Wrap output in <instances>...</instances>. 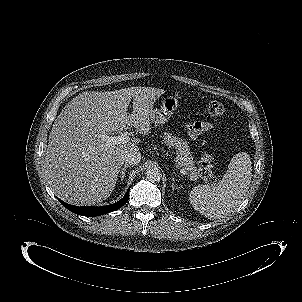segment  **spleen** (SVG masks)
I'll return each mask as SVG.
<instances>
[{"mask_svg": "<svg viewBox=\"0 0 302 302\" xmlns=\"http://www.w3.org/2000/svg\"><path fill=\"white\" fill-rule=\"evenodd\" d=\"M251 160L247 153H238L231 160L222 180L214 186H195L189 201L196 211L209 219L229 215L247 193L252 177Z\"/></svg>", "mask_w": 302, "mask_h": 302, "instance_id": "1", "label": "spleen"}]
</instances>
